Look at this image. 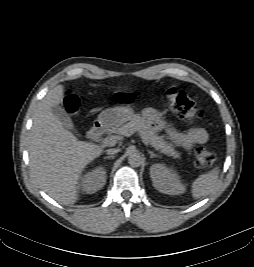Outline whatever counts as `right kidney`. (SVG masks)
<instances>
[{
  "label": "right kidney",
  "instance_id": "obj_1",
  "mask_svg": "<svg viewBox=\"0 0 254 267\" xmlns=\"http://www.w3.org/2000/svg\"><path fill=\"white\" fill-rule=\"evenodd\" d=\"M105 182L106 170L104 167L99 166L82 177L80 186L84 192L93 194L100 190L105 185Z\"/></svg>",
  "mask_w": 254,
  "mask_h": 267
}]
</instances>
